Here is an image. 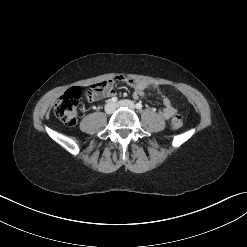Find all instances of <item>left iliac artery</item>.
Returning <instances> with one entry per match:
<instances>
[{
	"instance_id": "1",
	"label": "left iliac artery",
	"mask_w": 247,
	"mask_h": 247,
	"mask_svg": "<svg viewBox=\"0 0 247 247\" xmlns=\"http://www.w3.org/2000/svg\"><path fill=\"white\" fill-rule=\"evenodd\" d=\"M142 107H143V106H142V104H141L140 102L136 104V108H137V109H142Z\"/></svg>"
}]
</instances>
